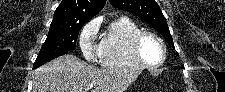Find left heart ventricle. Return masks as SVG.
Returning a JSON list of instances; mask_svg holds the SVG:
<instances>
[{
	"label": "left heart ventricle",
	"instance_id": "obj_1",
	"mask_svg": "<svg viewBox=\"0 0 225 92\" xmlns=\"http://www.w3.org/2000/svg\"><path fill=\"white\" fill-rule=\"evenodd\" d=\"M141 54L145 61L151 64L158 63L162 58L160 44L151 37H146L141 43Z\"/></svg>",
	"mask_w": 225,
	"mask_h": 92
}]
</instances>
